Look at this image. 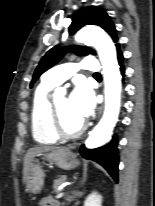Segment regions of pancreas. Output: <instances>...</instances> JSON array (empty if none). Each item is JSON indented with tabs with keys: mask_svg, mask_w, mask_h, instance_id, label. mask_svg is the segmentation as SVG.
Segmentation results:
<instances>
[{
	"mask_svg": "<svg viewBox=\"0 0 155 206\" xmlns=\"http://www.w3.org/2000/svg\"><path fill=\"white\" fill-rule=\"evenodd\" d=\"M66 181V176L64 175H59L55 180H54V185H53V189L57 190L58 187L64 183Z\"/></svg>",
	"mask_w": 155,
	"mask_h": 206,
	"instance_id": "1",
	"label": "pancreas"
}]
</instances>
